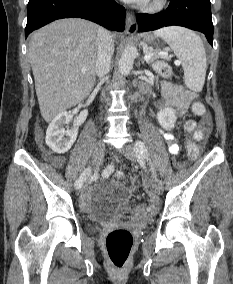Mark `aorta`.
I'll use <instances>...</instances> for the list:
<instances>
[{
  "label": "aorta",
  "mask_w": 233,
  "mask_h": 284,
  "mask_svg": "<svg viewBox=\"0 0 233 284\" xmlns=\"http://www.w3.org/2000/svg\"><path fill=\"white\" fill-rule=\"evenodd\" d=\"M138 52L134 45H128L123 51L119 60L118 68L121 75H128L133 67L134 59Z\"/></svg>",
  "instance_id": "aorta-1"
}]
</instances>
